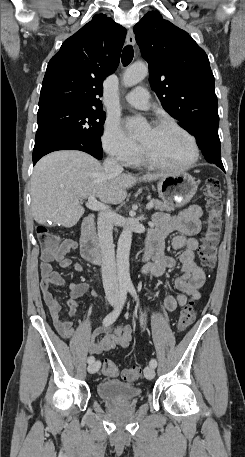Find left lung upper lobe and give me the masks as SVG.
<instances>
[{
    "instance_id": "left-lung-upper-lobe-1",
    "label": "left lung upper lobe",
    "mask_w": 245,
    "mask_h": 457,
    "mask_svg": "<svg viewBox=\"0 0 245 457\" xmlns=\"http://www.w3.org/2000/svg\"><path fill=\"white\" fill-rule=\"evenodd\" d=\"M133 31L163 108L188 132L218 123L214 76L206 53L192 37L158 11L146 13Z\"/></svg>"
}]
</instances>
